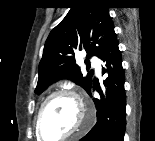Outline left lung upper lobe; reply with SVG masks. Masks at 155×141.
<instances>
[{
    "label": "left lung upper lobe",
    "mask_w": 155,
    "mask_h": 141,
    "mask_svg": "<svg viewBox=\"0 0 155 141\" xmlns=\"http://www.w3.org/2000/svg\"><path fill=\"white\" fill-rule=\"evenodd\" d=\"M104 0H74L72 7L49 34L39 64L35 93L40 94L50 84L68 78L87 92L92 86L93 71L83 77L76 64L75 53L85 49L87 58L100 57L109 40L115 35L113 22ZM114 99L112 109H117Z\"/></svg>",
    "instance_id": "1"
}]
</instances>
